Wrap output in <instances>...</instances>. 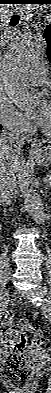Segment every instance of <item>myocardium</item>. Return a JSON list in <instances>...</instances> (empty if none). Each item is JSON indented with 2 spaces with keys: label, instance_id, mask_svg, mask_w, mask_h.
<instances>
[{
  "label": "myocardium",
  "instance_id": "1",
  "mask_svg": "<svg viewBox=\"0 0 51 393\" xmlns=\"http://www.w3.org/2000/svg\"><path fill=\"white\" fill-rule=\"evenodd\" d=\"M42 131L44 132V134L46 135H51V130H47L45 128H42Z\"/></svg>",
  "mask_w": 51,
  "mask_h": 393
}]
</instances>
